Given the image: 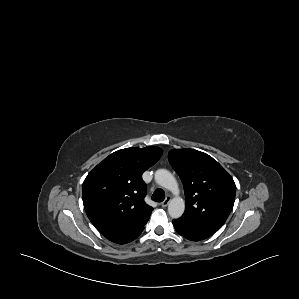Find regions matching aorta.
I'll use <instances>...</instances> for the list:
<instances>
[{"label": "aorta", "instance_id": "762f6f07", "mask_svg": "<svg viewBox=\"0 0 299 299\" xmlns=\"http://www.w3.org/2000/svg\"><path fill=\"white\" fill-rule=\"evenodd\" d=\"M154 177L157 184L170 190L175 195L168 204L170 217L174 219L181 217L185 210V202L179 196V186L175 177L166 169H158Z\"/></svg>", "mask_w": 299, "mask_h": 299}]
</instances>
